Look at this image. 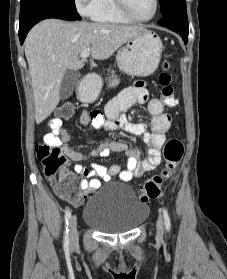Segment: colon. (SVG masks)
<instances>
[{"label":"colon","instance_id":"1","mask_svg":"<svg viewBox=\"0 0 227 279\" xmlns=\"http://www.w3.org/2000/svg\"><path fill=\"white\" fill-rule=\"evenodd\" d=\"M164 71L160 73L158 81L161 86V98L165 105L175 107L178 105V99L175 96L172 86V78L168 73L170 64L166 61L163 63ZM75 111L74 105L66 104L60 107V119H69ZM60 119H55V125L60 126ZM59 131L54 130L48 134L44 143L36 145L35 154L37 160L43 167L47 179L54 186L55 191L69 201L76 202L80 199L77 181L70 179L60 181L56 178L57 171L66 165L68 159L59 147ZM184 152V145L180 138H170L164 147V170L151 178H149L139 191V198L143 202L157 199L162 195V185L164 179L169 177L174 168L180 163Z\"/></svg>","mask_w":227,"mask_h":279}]
</instances>
